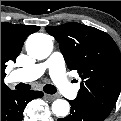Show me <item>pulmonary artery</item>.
Listing matches in <instances>:
<instances>
[{
    "mask_svg": "<svg viewBox=\"0 0 121 121\" xmlns=\"http://www.w3.org/2000/svg\"><path fill=\"white\" fill-rule=\"evenodd\" d=\"M49 72L55 88L62 94L75 98L78 88L73 87L64 74V61L60 53H53L46 61L18 69L12 76L21 81H32Z\"/></svg>",
    "mask_w": 121,
    "mask_h": 121,
    "instance_id": "obj_1",
    "label": "pulmonary artery"
}]
</instances>
